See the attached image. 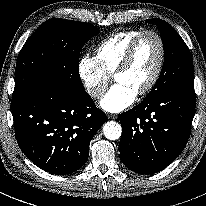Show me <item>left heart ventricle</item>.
I'll list each match as a JSON object with an SVG mask.
<instances>
[{
	"label": "left heart ventricle",
	"instance_id": "b2bd125f",
	"mask_svg": "<svg viewBox=\"0 0 206 206\" xmlns=\"http://www.w3.org/2000/svg\"><path fill=\"white\" fill-rule=\"evenodd\" d=\"M159 44L153 35H145L136 48L127 70L116 76V83L123 84L136 94L151 79L159 60Z\"/></svg>",
	"mask_w": 206,
	"mask_h": 206
}]
</instances>
